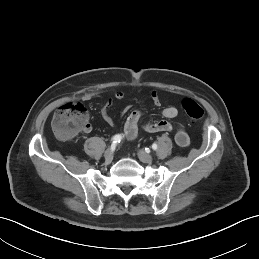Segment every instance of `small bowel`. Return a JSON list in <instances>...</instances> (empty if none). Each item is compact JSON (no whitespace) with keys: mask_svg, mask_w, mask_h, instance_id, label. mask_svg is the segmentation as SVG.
<instances>
[{"mask_svg":"<svg viewBox=\"0 0 259 259\" xmlns=\"http://www.w3.org/2000/svg\"><path fill=\"white\" fill-rule=\"evenodd\" d=\"M125 93L122 90H117L114 93V97L116 99H122L124 97ZM99 96L98 92H86L83 93L80 96V99L82 101H89L95 97ZM151 98L153 102L156 105L161 104L162 98L160 94L157 91H152L151 92ZM100 114L102 119L104 120L105 123L108 125H113L114 124V119L110 115V103L107 102L105 103L101 109H100ZM161 115L165 120H161L158 122H146L143 124V128L147 132H171L173 130L172 124L168 121V119H173L178 115V110L174 106H168L162 109ZM142 117V112L140 110H133L127 117L125 125H124V136L127 140H134L137 135H138V127H139V122ZM83 131L85 133H88L91 131V125L88 124ZM175 142L178 146L180 147H187L190 143V138L188 134L183 130V129H178L175 133Z\"/></svg>","mask_w":259,"mask_h":259,"instance_id":"small-bowel-1","label":"small bowel"}]
</instances>
